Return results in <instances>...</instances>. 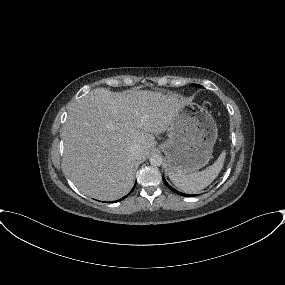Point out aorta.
Segmentation results:
<instances>
[{"instance_id":"obj_1","label":"aorta","mask_w":285,"mask_h":285,"mask_svg":"<svg viewBox=\"0 0 285 285\" xmlns=\"http://www.w3.org/2000/svg\"><path fill=\"white\" fill-rule=\"evenodd\" d=\"M149 162L152 166H161L163 158L158 154H153L150 156Z\"/></svg>"}]
</instances>
